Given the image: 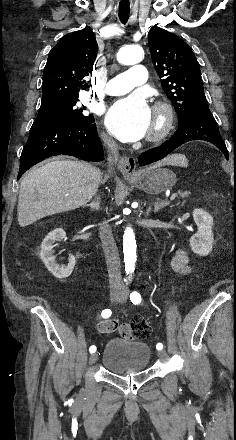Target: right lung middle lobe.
Returning a JSON list of instances; mask_svg holds the SVG:
<instances>
[{
    "instance_id": "obj_1",
    "label": "right lung middle lobe",
    "mask_w": 236,
    "mask_h": 440,
    "mask_svg": "<svg viewBox=\"0 0 236 440\" xmlns=\"http://www.w3.org/2000/svg\"><path fill=\"white\" fill-rule=\"evenodd\" d=\"M78 98L68 101L42 105L37 117H55L73 122H94V117L83 114L85 107H78Z\"/></svg>"
}]
</instances>
